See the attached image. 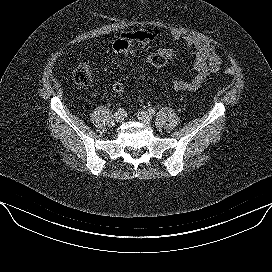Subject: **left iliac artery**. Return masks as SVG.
<instances>
[{
  "instance_id": "left-iliac-artery-1",
  "label": "left iliac artery",
  "mask_w": 272,
  "mask_h": 272,
  "mask_svg": "<svg viewBox=\"0 0 272 272\" xmlns=\"http://www.w3.org/2000/svg\"><path fill=\"white\" fill-rule=\"evenodd\" d=\"M148 112H149V114H151V115H155V113H156L155 109L152 108V107H150V108L148 109Z\"/></svg>"
}]
</instances>
